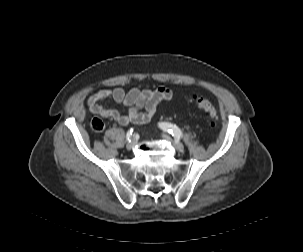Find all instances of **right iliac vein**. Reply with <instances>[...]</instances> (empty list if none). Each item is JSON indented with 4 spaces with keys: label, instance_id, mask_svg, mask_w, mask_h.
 <instances>
[{
    "label": "right iliac vein",
    "instance_id": "obj_1",
    "mask_svg": "<svg viewBox=\"0 0 303 252\" xmlns=\"http://www.w3.org/2000/svg\"><path fill=\"white\" fill-rule=\"evenodd\" d=\"M135 144H136L135 139H132L130 142L127 143L126 147L128 150H131Z\"/></svg>",
    "mask_w": 303,
    "mask_h": 252
}]
</instances>
